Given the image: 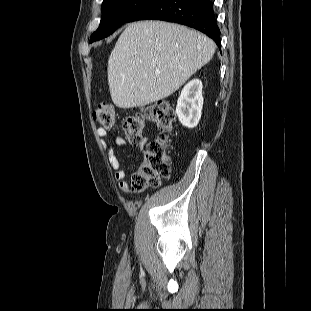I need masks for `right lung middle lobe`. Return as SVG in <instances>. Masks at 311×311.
Wrapping results in <instances>:
<instances>
[{"label": "right lung middle lobe", "mask_w": 311, "mask_h": 311, "mask_svg": "<svg viewBox=\"0 0 311 311\" xmlns=\"http://www.w3.org/2000/svg\"><path fill=\"white\" fill-rule=\"evenodd\" d=\"M153 0H104L99 28L92 34L90 43L103 39L126 23L137 11Z\"/></svg>", "instance_id": "obj_1"}]
</instances>
